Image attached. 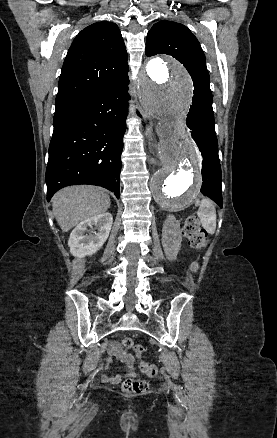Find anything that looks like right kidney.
I'll use <instances>...</instances> for the list:
<instances>
[{"label":"right kidney","mask_w":277,"mask_h":438,"mask_svg":"<svg viewBox=\"0 0 277 438\" xmlns=\"http://www.w3.org/2000/svg\"><path fill=\"white\" fill-rule=\"evenodd\" d=\"M112 224L113 216L108 214V212H103V214H98V216H93V218H87V220L80 222L71 232L68 240L70 254L77 256V258H85V256L96 254L97 250H100L104 242H106ZM88 228H93L97 232L86 234Z\"/></svg>","instance_id":"obj_1"}]
</instances>
